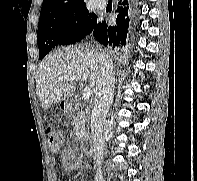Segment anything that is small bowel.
I'll use <instances>...</instances> for the list:
<instances>
[{"label": "small bowel", "mask_w": 197, "mask_h": 181, "mask_svg": "<svg viewBox=\"0 0 197 181\" xmlns=\"http://www.w3.org/2000/svg\"><path fill=\"white\" fill-rule=\"evenodd\" d=\"M62 164L66 171H73L77 169L81 163V159L75 154L71 148H64L61 151ZM50 164L52 167L56 165V159L51 158Z\"/></svg>", "instance_id": "small-bowel-1"}]
</instances>
